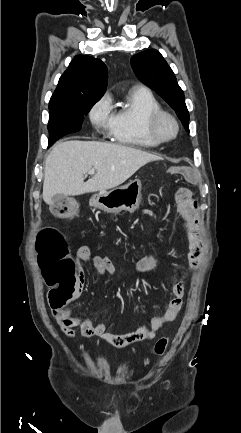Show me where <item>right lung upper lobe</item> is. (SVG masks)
Returning a JSON list of instances; mask_svg holds the SVG:
<instances>
[{
  "label": "right lung upper lobe",
  "instance_id": "obj_1",
  "mask_svg": "<svg viewBox=\"0 0 241 433\" xmlns=\"http://www.w3.org/2000/svg\"><path fill=\"white\" fill-rule=\"evenodd\" d=\"M106 85V65L99 59L77 55L60 77L50 102L99 100Z\"/></svg>",
  "mask_w": 241,
  "mask_h": 433
}]
</instances>
